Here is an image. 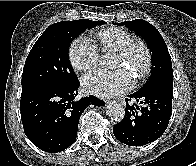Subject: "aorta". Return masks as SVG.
Segmentation results:
<instances>
[{"instance_id":"1","label":"aorta","mask_w":196,"mask_h":166,"mask_svg":"<svg viewBox=\"0 0 196 166\" xmlns=\"http://www.w3.org/2000/svg\"><path fill=\"white\" fill-rule=\"evenodd\" d=\"M109 57L104 55L101 59V64L106 66L109 64ZM106 113L107 115L116 122H120L123 120L125 115V108L118 102L112 101L106 105Z\"/></svg>"}]
</instances>
